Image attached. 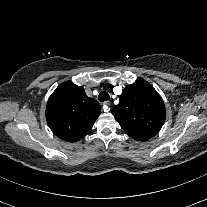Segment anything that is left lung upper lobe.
<instances>
[{
    "label": "left lung upper lobe",
    "mask_w": 207,
    "mask_h": 207,
    "mask_svg": "<svg viewBox=\"0 0 207 207\" xmlns=\"http://www.w3.org/2000/svg\"><path fill=\"white\" fill-rule=\"evenodd\" d=\"M112 114L131 138L140 141L150 139L160 131L166 110L157 91L138 78L123 90Z\"/></svg>",
    "instance_id": "obj_1"
}]
</instances>
